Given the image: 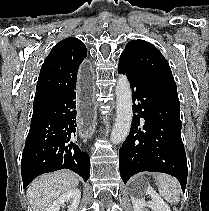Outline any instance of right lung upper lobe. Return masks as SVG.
<instances>
[{"mask_svg": "<svg viewBox=\"0 0 209 211\" xmlns=\"http://www.w3.org/2000/svg\"><path fill=\"white\" fill-rule=\"evenodd\" d=\"M86 56L85 45L74 37L64 39L53 47L40 70L33 112L75 89L78 69Z\"/></svg>", "mask_w": 209, "mask_h": 211, "instance_id": "1", "label": "right lung upper lobe"}]
</instances>
